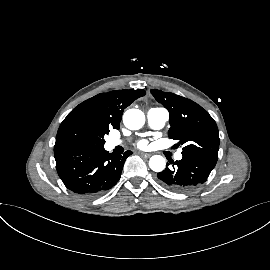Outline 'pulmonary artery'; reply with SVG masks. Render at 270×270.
I'll return each instance as SVG.
<instances>
[{
    "instance_id": "1",
    "label": "pulmonary artery",
    "mask_w": 270,
    "mask_h": 270,
    "mask_svg": "<svg viewBox=\"0 0 270 270\" xmlns=\"http://www.w3.org/2000/svg\"><path fill=\"white\" fill-rule=\"evenodd\" d=\"M169 119V113L166 109L164 108H151L147 112V122L148 125L155 130L161 129L164 127L166 122ZM122 142L117 139H111L109 141V146L111 148L116 147L120 145ZM175 159L176 160H181L182 159V154L181 152H178L175 154Z\"/></svg>"
}]
</instances>
